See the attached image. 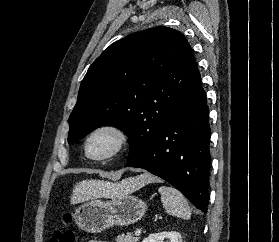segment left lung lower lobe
Returning <instances> with one entry per match:
<instances>
[{"instance_id":"left-lung-lower-lobe-1","label":"left lung lower lobe","mask_w":279,"mask_h":242,"mask_svg":"<svg viewBox=\"0 0 279 242\" xmlns=\"http://www.w3.org/2000/svg\"><path fill=\"white\" fill-rule=\"evenodd\" d=\"M210 127L206 94L196 71L159 135L125 167L143 168L166 180L203 212L209 203Z\"/></svg>"}]
</instances>
